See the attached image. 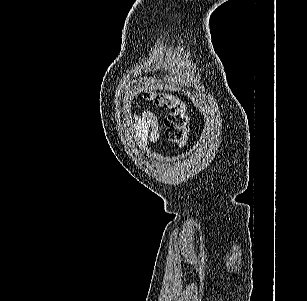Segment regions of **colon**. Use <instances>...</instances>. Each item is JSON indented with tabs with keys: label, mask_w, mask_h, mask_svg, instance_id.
<instances>
[{
	"label": "colon",
	"mask_w": 307,
	"mask_h": 301,
	"mask_svg": "<svg viewBox=\"0 0 307 301\" xmlns=\"http://www.w3.org/2000/svg\"><path fill=\"white\" fill-rule=\"evenodd\" d=\"M147 99L168 110L165 119V136L168 141L179 146L188 142L187 107L179 98L170 95L149 93Z\"/></svg>",
	"instance_id": "5ec220e1"
}]
</instances>
